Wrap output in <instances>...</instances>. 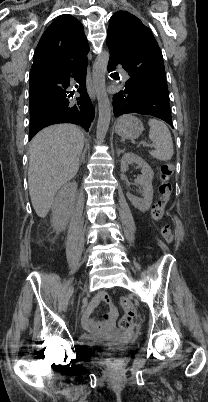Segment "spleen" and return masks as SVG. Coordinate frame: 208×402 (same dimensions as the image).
Wrapping results in <instances>:
<instances>
[{"label":"spleen","instance_id":"obj_1","mask_svg":"<svg viewBox=\"0 0 208 402\" xmlns=\"http://www.w3.org/2000/svg\"><path fill=\"white\" fill-rule=\"evenodd\" d=\"M148 126H150L149 138L154 144V150L150 152L151 156L162 162L171 160L174 154L173 142L166 124L159 120H149Z\"/></svg>","mask_w":208,"mask_h":402}]
</instances>
